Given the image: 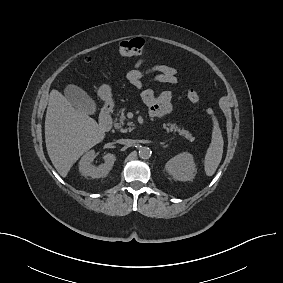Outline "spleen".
Segmentation results:
<instances>
[{"instance_id":"spleen-1","label":"spleen","mask_w":283,"mask_h":283,"mask_svg":"<svg viewBox=\"0 0 283 283\" xmlns=\"http://www.w3.org/2000/svg\"><path fill=\"white\" fill-rule=\"evenodd\" d=\"M209 114L212 115L213 130L211 143L205 154L204 166L206 175L212 176L221 162L224 141L217 118L212 110L209 111Z\"/></svg>"}]
</instances>
